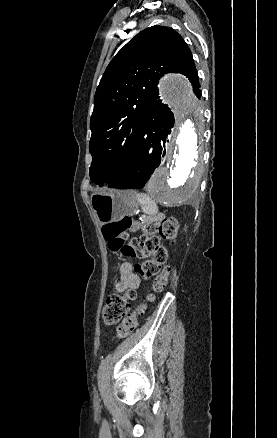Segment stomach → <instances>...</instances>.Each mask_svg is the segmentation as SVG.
<instances>
[{
	"label": "stomach",
	"instance_id": "obj_1",
	"mask_svg": "<svg viewBox=\"0 0 277 438\" xmlns=\"http://www.w3.org/2000/svg\"><path fill=\"white\" fill-rule=\"evenodd\" d=\"M91 206L100 224L117 222L132 216L139 208V202L131 191L109 190L91 196Z\"/></svg>",
	"mask_w": 277,
	"mask_h": 438
}]
</instances>
